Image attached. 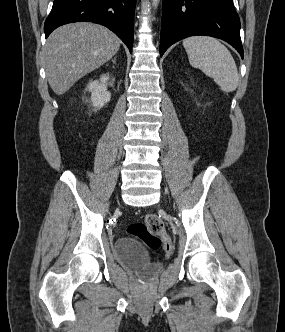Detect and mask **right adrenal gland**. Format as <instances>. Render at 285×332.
I'll use <instances>...</instances> for the list:
<instances>
[{
	"label": "right adrenal gland",
	"instance_id": "1",
	"mask_svg": "<svg viewBox=\"0 0 285 332\" xmlns=\"http://www.w3.org/2000/svg\"><path fill=\"white\" fill-rule=\"evenodd\" d=\"M113 63H116V58L113 60Z\"/></svg>",
	"mask_w": 285,
	"mask_h": 332
}]
</instances>
